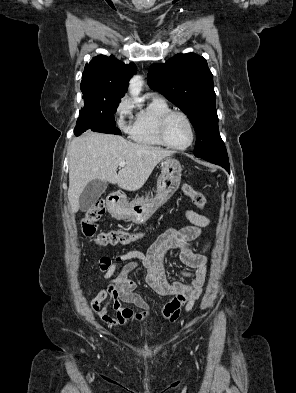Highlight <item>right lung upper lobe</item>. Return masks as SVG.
Instances as JSON below:
<instances>
[{"mask_svg": "<svg viewBox=\"0 0 296 393\" xmlns=\"http://www.w3.org/2000/svg\"><path fill=\"white\" fill-rule=\"evenodd\" d=\"M136 73L134 63L125 65L114 56L99 55L86 64L80 84L83 98L109 99L123 97L131 76Z\"/></svg>", "mask_w": 296, "mask_h": 393, "instance_id": "obj_1", "label": "right lung upper lobe"}]
</instances>
